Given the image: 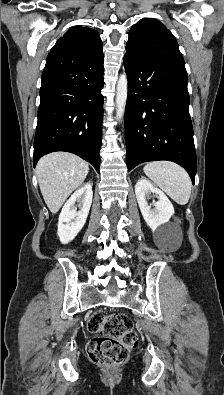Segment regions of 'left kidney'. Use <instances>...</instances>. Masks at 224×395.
Listing matches in <instances>:
<instances>
[{
	"label": "left kidney",
	"mask_w": 224,
	"mask_h": 395,
	"mask_svg": "<svg viewBox=\"0 0 224 395\" xmlns=\"http://www.w3.org/2000/svg\"><path fill=\"white\" fill-rule=\"evenodd\" d=\"M153 193L158 201H153L154 209L148 204L147 198ZM135 194L142 216L153 232L160 236L168 234L167 226L171 216L174 214V207L167 196L148 179L142 177L135 185Z\"/></svg>",
	"instance_id": "1"
}]
</instances>
